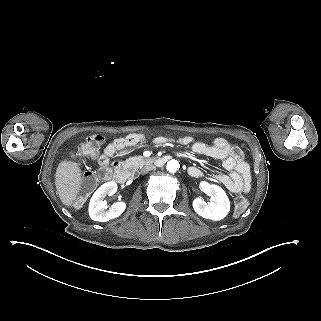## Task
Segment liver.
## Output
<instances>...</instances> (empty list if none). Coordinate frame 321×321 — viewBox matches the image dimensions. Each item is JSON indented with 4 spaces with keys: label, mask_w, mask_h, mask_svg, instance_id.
<instances>
[{
    "label": "liver",
    "mask_w": 321,
    "mask_h": 321,
    "mask_svg": "<svg viewBox=\"0 0 321 321\" xmlns=\"http://www.w3.org/2000/svg\"><path fill=\"white\" fill-rule=\"evenodd\" d=\"M84 183L80 163L62 160L56 170L55 184L63 205L71 208L74 205Z\"/></svg>",
    "instance_id": "1"
}]
</instances>
